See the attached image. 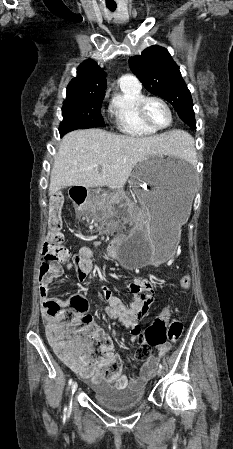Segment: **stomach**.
<instances>
[{"label": "stomach", "mask_w": 233, "mask_h": 449, "mask_svg": "<svg viewBox=\"0 0 233 449\" xmlns=\"http://www.w3.org/2000/svg\"><path fill=\"white\" fill-rule=\"evenodd\" d=\"M129 183L146 215L129 236L120 240L118 258L127 269L165 262L175 252L181 225L187 222L195 200L193 170L178 159L150 158L135 166ZM116 197L117 194L109 196L108 200ZM102 198L93 199L85 207L96 219L108 215ZM111 206L116 210L120 205L115 201ZM112 217L117 221L121 216L116 212Z\"/></svg>", "instance_id": "obj_1"}]
</instances>
